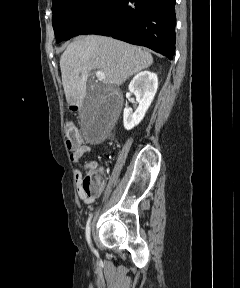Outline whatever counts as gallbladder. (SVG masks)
<instances>
[{
    "label": "gallbladder",
    "instance_id": "bac80fb5",
    "mask_svg": "<svg viewBox=\"0 0 240 288\" xmlns=\"http://www.w3.org/2000/svg\"><path fill=\"white\" fill-rule=\"evenodd\" d=\"M111 112L112 107L109 104L106 93L99 91L92 92L89 89L82 106V117H92L96 114L108 116Z\"/></svg>",
    "mask_w": 240,
    "mask_h": 288
}]
</instances>
